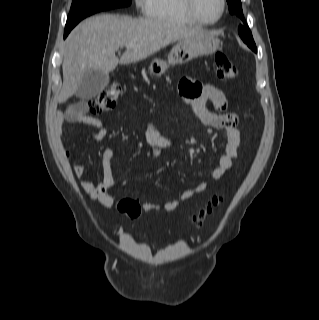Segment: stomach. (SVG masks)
<instances>
[{"label":"stomach","instance_id":"stomach-1","mask_svg":"<svg viewBox=\"0 0 319 320\" xmlns=\"http://www.w3.org/2000/svg\"><path fill=\"white\" fill-rule=\"evenodd\" d=\"M221 41L211 33H201L176 42L168 61L154 59L149 67L150 74L161 77L170 65L184 64L195 57L211 55L220 48Z\"/></svg>","mask_w":319,"mask_h":320}]
</instances>
